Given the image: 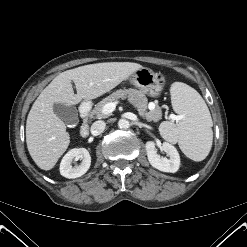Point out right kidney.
Masks as SVG:
<instances>
[{
    "label": "right kidney",
    "mask_w": 247,
    "mask_h": 247,
    "mask_svg": "<svg viewBox=\"0 0 247 247\" xmlns=\"http://www.w3.org/2000/svg\"><path fill=\"white\" fill-rule=\"evenodd\" d=\"M74 158L81 161L80 165L72 166ZM91 165V157L85 148H74L68 151L60 163V174L66 178L73 179L84 175Z\"/></svg>",
    "instance_id": "obj_1"
}]
</instances>
